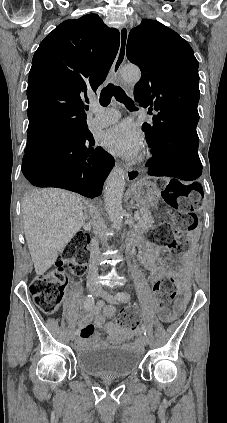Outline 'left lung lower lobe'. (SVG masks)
Listing matches in <instances>:
<instances>
[{
  "mask_svg": "<svg viewBox=\"0 0 227 423\" xmlns=\"http://www.w3.org/2000/svg\"><path fill=\"white\" fill-rule=\"evenodd\" d=\"M198 121L156 122L148 126L145 136L152 148L153 157L147 163L152 176H170L182 180H195L202 174V164L198 156ZM144 130V128H143Z\"/></svg>",
  "mask_w": 227,
  "mask_h": 423,
  "instance_id": "left-lung-lower-lobe-1",
  "label": "left lung lower lobe"
}]
</instances>
